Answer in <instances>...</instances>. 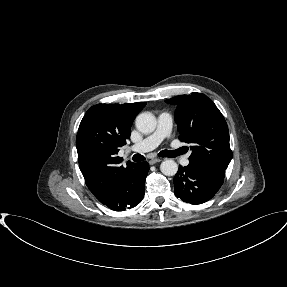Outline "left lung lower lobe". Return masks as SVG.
Listing matches in <instances>:
<instances>
[{
    "label": "left lung lower lobe",
    "mask_w": 287,
    "mask_h": 287,
    "mask_svg": "<svg viewBox=\"0 0 287 287\" xmlns=\"http://www.w3.org/2000/svg\"><path fill=\"white\" fill-rule=\"evenodd\" d=\"M225 171L200 163L179 166L174 181L177 198L190 204H202L210 200L224 182Z\"/></svg>",
    "instance_id": "0a47b994"
}]
</instances>
